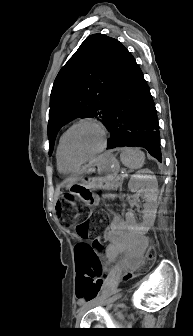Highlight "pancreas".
I'll return each instance as SVG.
<instances>
[{
    "label": "pancreas",
    "instance_id": "obj_1",
    "mask_svg": "<svg viewBox=\"0 0 193 336\" xmlns=\"http://www.w3.org/2000/svg\"><path fill=\"white\" fill-rule=\"evenodd\" d=\"M123 178L121 177H115L107 186L106 190H104V193L107 195H110L114 190H116L118 187H121Z\"/></svg>",
    "mask_w": 193,
    "mask_h": 336
}]
</instances>
